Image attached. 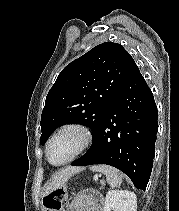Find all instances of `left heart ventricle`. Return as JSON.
Masks as SVG:
<instances>
[{
	"mask_svg": "<svg viewBox=\"0 0 179 211\" xmlns=\"http://www.w3.org/2000/svg\"><path fill=\"white\" fill-rule=\"evenodd\" d=\"M79 141V135L73 131L64 132L57 136L49 147L50 161L58 164L67 160L77 149Z\"/></svg>",
	"mask_w": 179,
	"mask_h": 211,
	"instance_id": "1",
	"label": "left heart ventricle"
}]
</instances>
